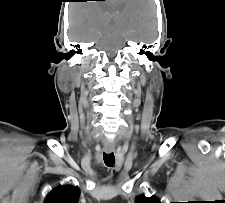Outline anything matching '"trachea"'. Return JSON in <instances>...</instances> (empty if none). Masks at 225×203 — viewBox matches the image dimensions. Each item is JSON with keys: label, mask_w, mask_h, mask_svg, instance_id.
<instances>
[{"label": "trachea", "mask_w": 225, "mask_h": 203, "mask_svg": "<svg viewBox=\"0 0 225 203\" xmlns=\"http://www.w3.org/2000/svg\"><path fill=\"white\" fill-rule=\"evenodd\" d=\"M103 159L106 166L108 167H112L115 164V157L113 153L109 154L103 153Z\"/></svg>", "instance_id": "obj_1"}]
</instances>
